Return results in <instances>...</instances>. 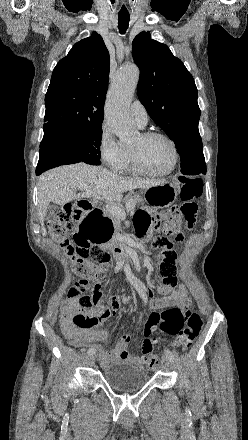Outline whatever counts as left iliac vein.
I'll use <instances>...</instances> for the list:
<instances>
[{"mask_svg":"<svg viewBox=\"0 0 248 440\" xmlns=\"http://www.w3.org/2000/svg\"><path fill=\"white\" fill-rule=\"evenodd\" d=\"M170 363H171V360L168 357L164 356L162 358L161 365L164 370H169Z\"/></svg>","mask_w":248,"mask_h":440,"instance_id":"obj_1","label":"left iliac vein"}]
</instances>
